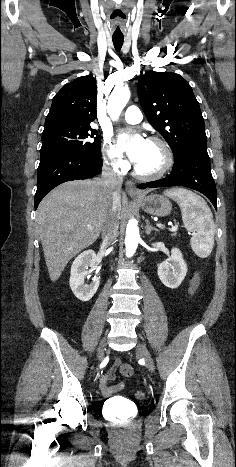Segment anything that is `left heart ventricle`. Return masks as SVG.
Returning a JSON list of instances; mask_svg holds the SVG:
<instances>
[{
  "mask_svg": "<svg viewBox=\"0 0 236 467\" xmlns=\"http://www.w3.org/2000/svg\"><path fill=\"white\" fill-rule=\"evenodd\" d=\"M163 152L161 148L154 143L147 142L145 151L136 166L143 172L150 173L158 170L163 164Z\"/></svg>",
  "mask_w": 236,
  "mask_h": 467,
  "instance_id": "left-heart-ventricle-1",
  "label": "left heart ventricle"
}]
</instances>
